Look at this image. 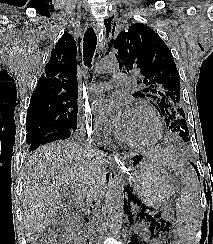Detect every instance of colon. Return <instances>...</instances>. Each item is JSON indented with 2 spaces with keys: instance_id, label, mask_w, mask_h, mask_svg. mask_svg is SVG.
<instances>
[{
  "instance_id": "5ec220e1",
  "label": "colon",
  "mask_w": 213,
  "mask_h": 244,
  "mask_svg": "<svg viewBox=\"0 0 213 244\" xmlns=\"http://www.w3.org/2000/svg\"><path fill=\"white\" fill-rule=\"evenodd\" d=\"M37 244H54V239L51 235H46ZM143 244V243H140Z\"/></svg>"
}]
</instances>
